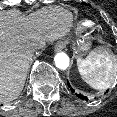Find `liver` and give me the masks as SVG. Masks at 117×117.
<instances>
[{
    "mask_svg": "<svg viewBox=\"0 0 117 117\" xmlns=\"http://www.w3.org/2000/svg\"><path fill=\"white\" fill-rule=\"evenodd\" d=\"M73 20L61 6L43 7L29 16L17 9L0 11V103L20 95L34 52L67 35Z\"/></svg>",
    "mask_w": 117,
    "mask_h": 117,
    "instance_id": "1",
    "label": "liver"
}]
</instances>
